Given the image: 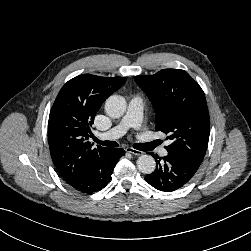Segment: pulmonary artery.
<instances>
[{
    "instance_id": "e3ab8cb5",
    "label": "pulmonary artery",
    "mask_w": 251,
    "mask_h": 251,
    "mask_svg": "<svg viewBox=\"0 0 251 251\" xmlns=\"http://www.w3.org/2000/svg\"><path fill=\"white\" fill-rule=\"evenodd\" d=\"M143 99L140 96L133 97L129 104L125 115L119 123L109 130L105 137L116 139L122 137L130 128H138L142 120ZM162 156L167 155V150L162 148L160 150Z\"/></svg>"
}]
</instances>
